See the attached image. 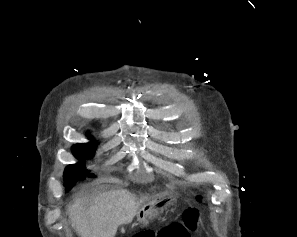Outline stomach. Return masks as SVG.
Returning a JSON list of instances; mask_svg holds the SVG:
<instances>
[{
	"label": "stomach",
	"instance_id": "1",
	"mask_svg": "<svg viewBox=\"0 0 297 237\" xmlns=\"http://www.w3.org/2000/svg\"><path fill=\"white\" fill-rule=\"evenodd\" d=\"M175 199L172 197L163 198L155 203L145 206L138 213V221L143 226H147L150 221L158 217Z\"/></svg>",
	"mask_w": 297,
	"mask_h": 237
}]
</instances>
